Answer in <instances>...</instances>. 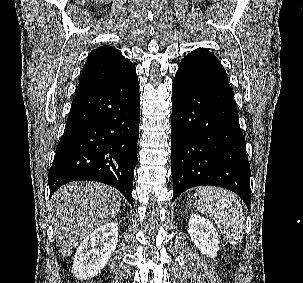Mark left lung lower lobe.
Returning a JSON list of instances; mask_svg holds the SVG:
<instances>
[{
    "label": "left lung lower lobe",
    "mask_w": 303,
    "mask_h": 283,
    "mask_svg": "<svg viewBox=\"0 0 303 283\" xmlns=\"http://www.w3.org/2000/svg\"><path fill=\"white\" fill-rule=\"evenodd\" d=\"M171 101L172 201L211 185L234 191L250 209L245 137L226 72L212 53L200 48L181 61Z\"/></svg>",
    "instance_id": "1"
}]
</instances>
